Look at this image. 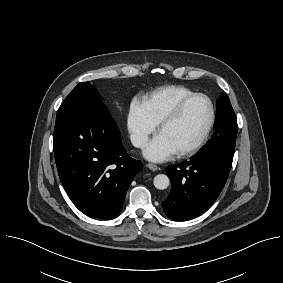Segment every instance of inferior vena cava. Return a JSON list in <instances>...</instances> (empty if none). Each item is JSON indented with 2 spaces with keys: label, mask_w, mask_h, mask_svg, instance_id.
I'll use <instances>...</instances> for the list:
<instances>
[{
  "label": "inferior vena cava",
  "mask_w": 283,
  "mask_h": 283,
  "mask_svg": "<svg viewBox=\"0 0 283 283\" xmlns=\"http://www.w3.org/2000/svg\"><path fill=\"white\" fill-rule=\"evenodd\" d=\"M131 142L133 146L142 148L146 145L147 143V137L144 135H132L131 136Z\"/></svg>",
  "instance_id": "obj_1"
}]
</instances>
